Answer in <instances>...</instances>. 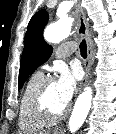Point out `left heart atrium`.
I'll return each mask as SVG.
<instances>
[{
	"instance_id": "1",
	"label": "left heart atrium",
	"mask_w": 116,
	"mask_h": 134,
	"mask_svg": "<svg viewBox=\"0 0 116 134\" xmlns=\"http://www.w3.org/2000/svg\"><path fill=\"white\" fill-rule=\"evenodd\" d=\"M81 79V72L78 68H62L56 80L58 93L67 106L77 90L78 83Z\"/></svg>"
}]
</instances>
